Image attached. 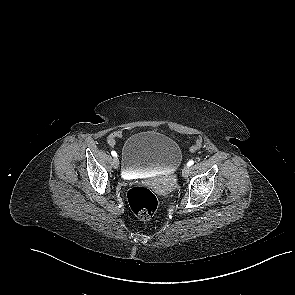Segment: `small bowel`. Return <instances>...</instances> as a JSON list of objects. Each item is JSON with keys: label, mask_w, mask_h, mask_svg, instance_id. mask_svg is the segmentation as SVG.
<instances>
[{"label": "small bowel", "mask_w": 295, "mask_h": 295, "mask_svg": "<svg viewBox=\"0 0 295 295\" xmlns=\"http://www.w3.org/2000/svg\"><path fill=\"white\" fill-rule=\"evenodd\" d=\"M122 135V130L117 129L114 132H112L108 138H107V143L110 147H115L117 139ZM202 145V141L199 139L195 142L194 145L191 146V152H196L197 150L200 149Z\"/></svg>", "instance_id": "1"}]
</instances>
